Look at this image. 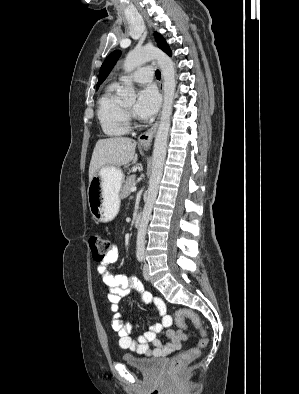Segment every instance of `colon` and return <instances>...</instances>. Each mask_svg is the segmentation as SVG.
Masks as SVG:
<instances>
[{
    "label": "colon",
    "mask_w": 299,
    "mask_h": 394,
    "mask_svg": "<svg viewBox=\"0 0 299 394\" xmlns=\"http://www.w3.org/2000/svg\"><path fill=\"white\" fill-rule=\"evenodd\" d=\"M111 241L109 238L99 232L92 233L89 237V246L91 249L92 256L95 260L101 261L108 254L111 248ZM176 321L179 324L184 323V318L190 319L196 327H201L200 317L193 311L187 309H181L176 312ZM208 345V338L203 333L202 337L199 339L197 346L191 347L188 350L176 355L170 361L168 365V370L170 372H176L180 368L184 367L188 363L197 359L200 356L201 350Z\"/></svg>",
    "instance_id": "colon-1"
}]
</instances>
